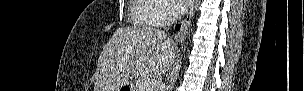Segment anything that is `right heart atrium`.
Instances as JSON below:
<instances>
[{"label": "right heart atrium", "instance_id": "right-heart-atrium-1", "mask_svg": "<svg viewBox=\"0 0 304 91\" xmlns=\"http://www.w3.org/2000/svg\"><path fill=\"white\" fill-rule=\"evenodd\" d=\"M152 1L157 5V9L153 16V20L156 23V25L159 23L167 22L172 16L170 8L164 3V1L161 0H152Z\"/></svg>", "mask_w": 304, "mask_h": 91}]
</instances>
